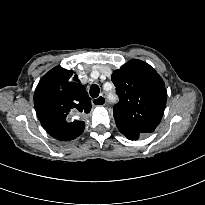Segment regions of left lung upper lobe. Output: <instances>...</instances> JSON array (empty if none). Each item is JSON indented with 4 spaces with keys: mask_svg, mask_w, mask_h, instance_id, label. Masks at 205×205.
<instances>
[{
    "mask_svg": "<svg viewBox=\"0 0 205 205\" xmlns=\"http://www.w3.org/2000/svg\"><path fill=\"white\" fill-rule=\"evenodd\" d=\"M111 80L120 99L113 108L116 124L140 133L153 132L167 100L160 75L146 62L133 59L115 70Z\"/></svg>",
    "mask_w": 205,
    "mask_h": 205,
    "instance_id": "1",
    "label": "left lung upper lobe"
}]
</instances>
